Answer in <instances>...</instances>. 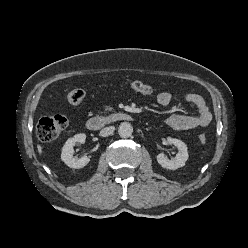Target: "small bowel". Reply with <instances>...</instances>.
Here are the masks:
<instances>
[{
	"instance_id": "obj_1",
	"label": "small bowel",
	"mask_w": 248,
	"mask_h": 248,
	"mask_svg": "<svg viewBox=\"0 0 248 248\" xmlns=\"http://www.w3.org/2000/svg\"><path fill=\"white\" fill-rule=\"evenodd\" d=\"M184 99L197 109V115H170L165 118L164 123L175 131H187L208 126L212 120V114L204 98L199 94L188 93ZM171 101L172 94L170 92L161 91L158 93L157 102L160 105L167 106Z\"/></svg>"
}]
</instances>
